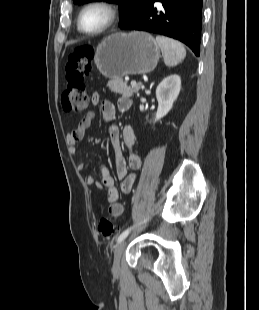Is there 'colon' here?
I'll list each match as a JSON object with an SVG mask.
<instances>
[{
  "label": "colon",
  "mask_w": 259,
  "mask_h": 310,
  "mask_svg": "<svg viewBox=\"0 0 259 310\" xmlns=\"http://www.w3.org/2000/svg\"><path fill=\"white\" fill-rule=\"evenodd\" d=\"M94 50L81 45L68 56L66 63V87L61 95V107L68 112H82L88 105L86 78L92 69ZM98 231L104 237L117 233L119 227L111 219L102 217L98 221Z\"/></svg>",
  "instance_id": "1"
}]
</instances>
